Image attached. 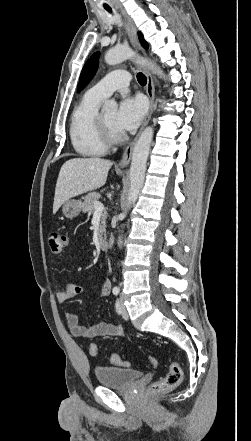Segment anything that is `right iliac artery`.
Listing matches in <instances>:
<instances>
[{
  "label": "right iliac artery",
  "instance_id": "obj_1",
  "mask_svg": "<svg viewBox=\"0 0 251 441\" xmlns=\"http://www.w3.org/2000/svg\"><path fill=\"white\" fill-rule=\"evenodd\" d=\"M112 292H113L114 295H118L120 290H119V288H113Z\"/></svg>",
  "mask_w": 251,
  "mask_h": 441
}]
</instances>
